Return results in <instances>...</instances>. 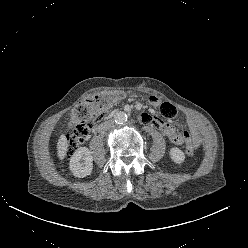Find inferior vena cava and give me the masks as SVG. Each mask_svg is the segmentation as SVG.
<instances>
[{
	"label": "inferior vena cava",
	"mask_w": 248,
	"mask_h": 248,
	"mask_svg": "<svg viewBox=\"0 0 248 248\" xmlns=\"http://www.w3.org/2000/svg\"><path fill=\"white\" fill-rule=\"evenodd\" d=\"M113 124L114 122L112 120H108L102 123L99 127H100V130L103 132V131L110 129L113 126Z\"/></svg>",
	"instance_id": "inferior-vena-cava-1"
}]
</instances>
